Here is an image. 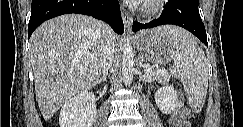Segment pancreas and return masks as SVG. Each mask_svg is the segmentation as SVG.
<instances>
[{
    "instance_id": "cf45deb5",
    "label": "pancreas",
    "mask_w": 243,
    "mask_h": 127,
    "mask_svg": "<svg viewBox=\"0 0 243 127\" xmlns=\"http://www.w3.org/2000/svg\"><path fill=\"white\" fill-rule=\"evenodd\" d=\"M149 75L161 83H167L169 81V77L161 74L159 70H154V72Z\"/></svg>"
}]
</instances>
